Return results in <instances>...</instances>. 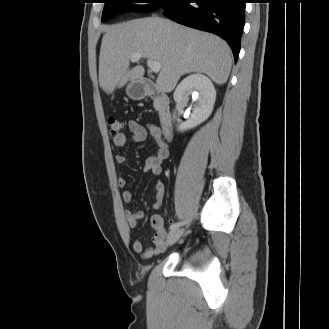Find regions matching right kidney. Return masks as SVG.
<instances>
[{
  "label": "right kidney",
  "instance_id": "right-kidney-1",
  "mask_svg": "<svg viewBox=\"0 0 329 329\" xmlns=\"http://www.w3.org/2000/svg\"><path fill=\"white\" fill-rule=\"evenodd\" d=\"M190 95H199L200 99H198L190 118L178 126L180 131L198 126L213 111L216 91L212 82L206 76L197 73L184 78L174 91V100L177 104H184L188 102Z\"/></svg>",
  "mask_w": 329,
  "mask_h": 329
}]
</instances>
